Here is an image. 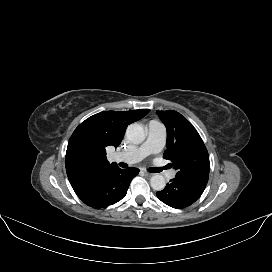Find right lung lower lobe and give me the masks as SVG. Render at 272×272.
<instances>
[{"label":"right lung lower lobe","mask_w":272,"mask_h":272,"mask_svg":"<svg viewBox=\"0 0 272 272\" xmlns=\"http://www.w3.org/2000/svg\"><path fill=\"white\" fill-rule=\"evenodd\" d=\"M138 173L137 168L120 169L114 166L72 187L86 205L95 209L106 208L126 195L131 180Z\"/></svg>","instance_id":"98d812e1"}]
</instances>
